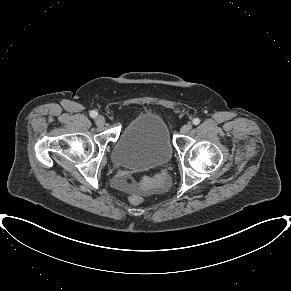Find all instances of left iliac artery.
Wrapping results in <instances>:
<instances>
[{"label": "left iliac artery", "mask_w": 291, "mask_h": 291, "mask_svg": "<svg viewBox=\"0 0 291 291\" xmlns=\"http://www.w3.org/2000/svg\"><path fill=\"white\" fill-rule=\"evenodd\" d=\"M192 122H193L194 125H198L200 123V119L199 118H194Z\"/></svg>", "instance_id": "obj_1"}]
</instances>
